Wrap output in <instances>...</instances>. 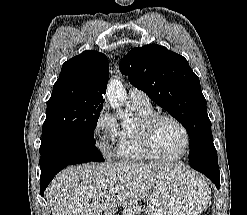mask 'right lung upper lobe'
<instances>
[{"label": "right lung upper lobe", "mask_w": 247, "mask_h": 215, "mask_svg": "<svg viewBox=\"0 0 247 215\" xmlns=\"http://www.w3.org/2000/svg\"><path fill=\"white\" fill-rule=\"evenodd\" d=\"M108 78L107 57L97 51H84L63 64L53 92L67 89L75 96L103 102Z\"/></svg>", "instance_id": "right-lung-upper-lobe-1"}]
</instances>
